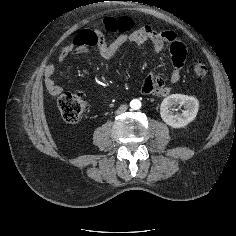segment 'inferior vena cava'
<instances>
[{
  "label": "inferior vena cava",
  "mask_w": 236,
  "mask_h": 236,
  "mask_svg": "<svg viewBox=\"0 0 236 236\" xmlns=\"http://www.w3.org/2000/svg\"><path fill=\"white\" fill-rule=\"evenodd\" d=\"M127 109H128V106H127V105H121V106L116 110V113H117V114H121V113L125 112Z\"/></svg>",
  "instance_id": "1"
}]
</instances>
